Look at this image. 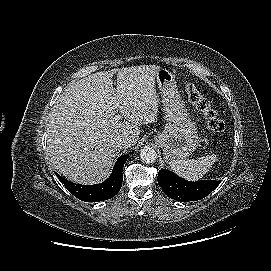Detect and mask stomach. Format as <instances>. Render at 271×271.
Masks as SVG:
<instances>
[{
  "label": "stomach",
  "instance_id": "0dacf381",
  "mask_svg": "<svg viewBox=\"0 0 271 271\" xmlns=\"http://www.w3.org/2000/svg\"><path fill=\"white\" fill-rule=\"evenodd\" d=\"M164 107L166 125L155 137L162 148L164 159L171 163L189 157L199 143L195 123L189 117L185 103L178 91L175 75L161 68L156 75Z\"/></svg>",
  "mask_w": 271,
  "mask_h": 271
}]
</instances>
